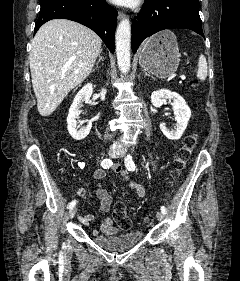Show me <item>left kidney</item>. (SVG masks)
Masks as SVG:
<instances>
[{"label": "left kidney", "mask_w": 240, "mask_h": 281, "mask_svg": "<svg viewBox=\"0 0 240 281\" xmlns=\"http://www.w3.org/2000/svg\"><path fill=\"white\" fill-rule=\"evenodd\" d=\"M173 100L171 103L177 121L175 130H168L164 123L160 124L162 133L170 140H178L185 131L188 121L191 117V110L186 104V101L176 92H171L167 89L154 91L151 95V102L154 107H160L166 101Z\"/></svg>", "instance_id": "left-kidney-1"}]
</instances>
